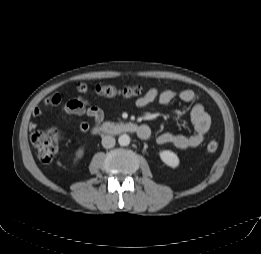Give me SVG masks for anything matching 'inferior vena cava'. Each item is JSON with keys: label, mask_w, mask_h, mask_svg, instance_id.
Returning <instances> with one entry per match:
<instances>
[{"label": "inferior vena cava", "mask_w": 261, "mask_h": 254, "mask_svg": "<svg viewBox=\"0 0 261 254\" xmlns=\"http://www.w3.org/2000/svg\"><path fill=\"white\" fill-rule=\"evenodd\" d=\"M115 142V138L112 136H104L102 138V146L106 149L114 147Z\"/></svg>", "instance_id": "602c4592"}]
</instances>
